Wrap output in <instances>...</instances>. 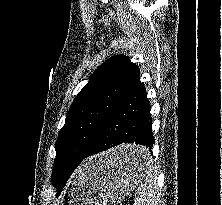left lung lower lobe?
Instances as JSON below:
<instances>
[{
  "instance_id": "left-lung-lower-lobe-1",
  "label": "left lung lower lobe",
  "mask_w": 222,
  "mask_h": 205,
  "mask_svg": "<svg viewBox=\"0 0 222 205\" xmlns=\"http://www.w3.org/2000/svg\"><path fill=\"white\" fill-rule=\"evenodd\" d=\"M150 110L151 106L138 70L107 115L88 151L81 157L69 155L63 160L61 168L66 169V176L57 188V196L79 164L96 153L122 143H136L151 150L155 139L151 130ZM148 159V150L127 151L117 157V160L123 164H142Z\"/></svg>"
}]
</instances>
